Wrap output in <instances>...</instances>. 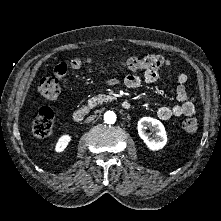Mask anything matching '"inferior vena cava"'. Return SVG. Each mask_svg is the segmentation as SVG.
<instances>
[{"label": "inferior vena cava", "mask_w": 221, "mask_h": 221, "mask_svg": "<svg viewBox=\"0 0 221 221\" xmlns=\"http://www.w3.org/2000/svg\"><path fill=\"white\" fill-rule=\"evenodd\" d=\"M95 118H96V115H91V116H89V117L86 118L85 122H86V123H90V122H92Z\"/></svg>", "instance_id": "obj_1"}]
</instances>
